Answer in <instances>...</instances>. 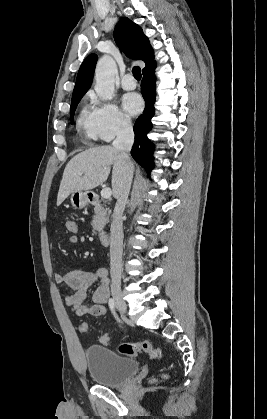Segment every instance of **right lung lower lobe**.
I'll list each match as a JSON object with an SVG mask.
<instances>
[{
  "instance_id": "right-lung-lower-lobe-1",
  "label": "right lung lower lobe",
  "mask_w": 267,
  "mask_h": 419,
  "mask_svg": "<svg viewBox=\"0 0 267 419\" xmlns=\"http://www.w3.org/2000/svg\"><path fill=\"white\" fill-rule=\"evenodd\" d=\"M156 64L143 71L141 92L145 100V109L134 124L135 142L131 150L134 160L145 168L148 174L153 169V144L148 140L147 133L152 128L151 118L154 115L156 96V77L154 75Z\"/></svg>"
}]
</instances>
